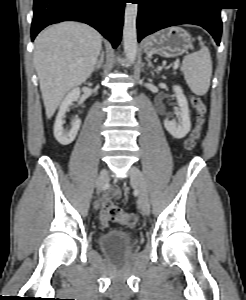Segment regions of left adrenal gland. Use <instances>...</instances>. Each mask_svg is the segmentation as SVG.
I'll return each mask as SVG.
<instances>
[{"label": "left adrenal gland", "instance_id": "left-adrenal-gland-1", "mask_svg": "<svg viewBox=\"0 0 246 300\" xmlns=\"http://www.w3.org/2000/svg\"><path fill=\"white\" fill-rule=\"evenodd\" d=\"M146 61L148 62V67H151L152 69H154L155 72H157V70L155 69L154 65L152 64L151 60L149 59V57H145Z\"/></svg>", "mask_w": 246, "mask_h": 300}]
</instances>
